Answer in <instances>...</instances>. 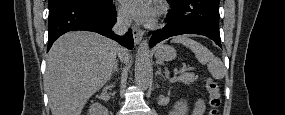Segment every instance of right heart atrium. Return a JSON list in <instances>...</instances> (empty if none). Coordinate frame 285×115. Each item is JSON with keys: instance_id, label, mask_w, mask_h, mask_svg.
<instances>
[{"instance_id": "1", "label": "right heart atrium", "mask_w": 285, "mask_h": 115, "mask_svg": "<svg viewBox=\"0 0 285 115\" xmlns=\"http://www.w3.org/2000/svg\"><path fill=\"white\" fill-rule=\"evenodd\" d=\"M119 18H120V20H122V21H126V20H127V16H126V14L123 13V12H120V13H119Z\"/></svg>"}]
</instances>
